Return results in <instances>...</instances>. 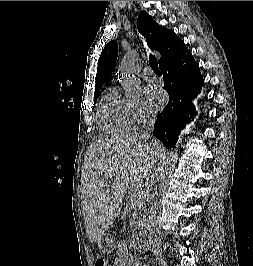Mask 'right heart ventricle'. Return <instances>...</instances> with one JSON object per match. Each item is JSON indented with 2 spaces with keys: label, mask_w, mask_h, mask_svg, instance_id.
Returning <instances> with one entry per match:
<instances>
[{
  "label": "right heart ventricle",
  "mask_w": 253,
  "mask_h": 266,
  "mask_svg": "<svg viewBox=\"0 0 253 266\" xmlns=\"http://www.w3.org/2000/svg\"><path fill=\"white\" fill-rule=\"evenodd\" d=\"M98 122L101 130L111 135L122 134L133 126L125 101L119 98L114 88L106 92L99 104Z\"/></svg>",
  "instance_id": "e07e8e85"
}]
</instances>
